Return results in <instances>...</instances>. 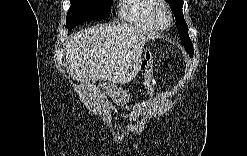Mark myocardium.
<instances>
[{"instance_id": "obj_1", "label": "myocardium", "mask_w": 247, "mask_h": 156, "mask_svg": "<svg viewBox=\"0 0 247 156\" xmlns=\"http://www.w3.org/2000/svg\"><path fill=\"white\" fill-rule=\"evenodd\" d=\"M161 12H165L167 17H168V22L166 24H162L159 21V14ZM152 17H153V21H154L155 25L157 26V28L161 29V30H165V29L169 28L173 23V14H172L169 6L164 2H158L156 4V6L153 10Z\"/></svg>"}]
</instances>
